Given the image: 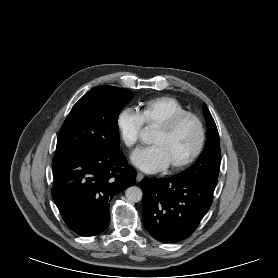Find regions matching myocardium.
Instances as JSON below:
<instances>
[{
  "mask_svg": "<svg viewBox=\"0 0 278 278\" xmlns=\"http://www.w3.org/2000/svg\"><path fill=\"white\" fill-rule=\"evenodd\" d=\"M186 120H192L196 124L198 130V141L195 149L192 151L190 155L178 162L169 165V168L172 171L181 170L191 165L201 155L206 142V129L202 119L198 115L191 112L177 114L168 119L167 121L158 125V128L162 131L170 133Z\"/></svg>",
  "mask_w": 278,
  "mask_h": 278,
  "instance_id": "f54148a6",
  "label": "myocardium"
}]
</instances>
